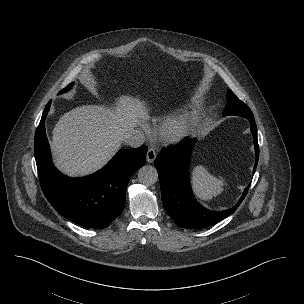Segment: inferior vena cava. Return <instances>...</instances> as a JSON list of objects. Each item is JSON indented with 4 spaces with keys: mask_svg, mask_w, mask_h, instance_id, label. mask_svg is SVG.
<instances>
[{
    "mask_svg": "<svg viewBox=\"0 0 304 304\" xmlns=\"http://www.w3.org/2000/svg\"><path fill=\"white\" fill-rule=\"evenodd\" d=\"M145 141L144 135L139 130H132L125 138V142L131 147H140Z\"/></svg>",
    "mask_w": 304,
    "mask_h": 304,
    "instance_id": "obj_1",
    "label": "inferior vena cava"
}]
</instances>
